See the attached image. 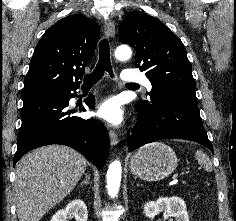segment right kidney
I'll return each mask as SVG.
<instances>
[{
    "mask_svg": "<svg viewBox=\"0 0 236 221\" xmlns=\"http://www.w3.org/2000/svg\"><path fill=\"white\" fill-rule=\"evenodd\" d=\"M68 215H72L76 221H87L88 211L84 201L80 199L71 201L65 209L57 211L51 221H66Z\"/></svg>",
    "mask_w": 236,
    "mask_h": 221,
    "instance_id": "right-kidney-1",
    "label": "right kidney"
}]
</instances>
